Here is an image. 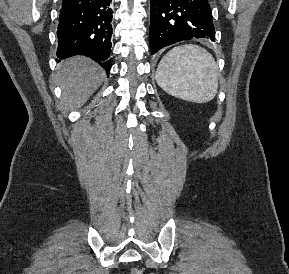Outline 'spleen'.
Listing matches in <instances>:
<instances>
[{"label":"spleen","mask_w":289,"mask_h":274,"mask_svg":"<svg viewBox=\"0 0 289 274\" xmlns=\"http://www.w3.org/2000/svg\"><path fill=\"white\" fill-rule=\"evenodd\" d=\"M156 81L170 95L205 103L218 89V66L213 56L197 45L171 49L160 61Z\"/></svg>","instance_id":"1"}]
</instances>
